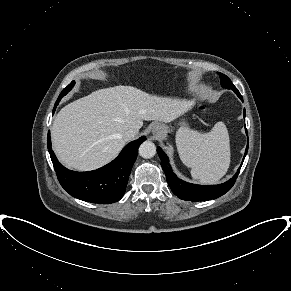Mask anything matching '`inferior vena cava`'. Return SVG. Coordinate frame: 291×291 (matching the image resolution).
Here are the masks:
<instances>
[{
	"mask_svg": "<svg viewBox=\"0 0 291 291\" xmlns=\"http://www.w3.org/2000/svg\"><path fill=\"white\" fill-rule=\"evenodd\" d=\"M137 133H138V131H136L134 129H128L123 133L122 137L125 141H128V140L134 138Z\"/></svg>",
	"mask_w": 291,
	"mask_h": 291,
	"instance_id": "1",
	"label": "inferior vena cava"
}]
</instances>
